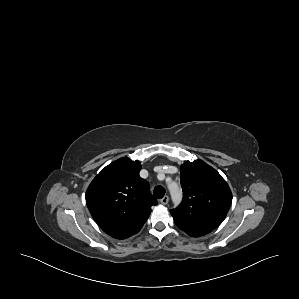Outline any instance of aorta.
<instances>
[{
  "label": "aorta",
  "mask_w": 299,
  "mask_h": 299,
  "mask_svg": "<svg viewBox=\"0 0 299 299\" xmlns=\"http://www.w3.org/2000/svg\"><path fill=\"white\" fill-rule=\"evenodd\" d=\"M172 201L175 205H178L182 200V191L177 184H170L168 186Z\"/></svg>",
  "instance_id": "762f6f07"
}]
</instances>
